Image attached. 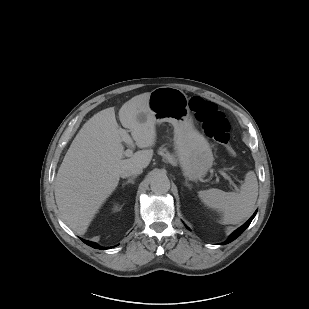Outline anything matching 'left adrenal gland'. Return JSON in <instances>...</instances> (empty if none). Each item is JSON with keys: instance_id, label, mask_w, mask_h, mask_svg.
Instances as JSON below:
<instances>
[{"instance_id": "obj_1", "label": "left adrenal gland", "mask_w": 309, "mask_h": 309, "mask_svg": "<svg viewBox=\"0 0 309 309\" xmlns=\"http://www.w3.org/2000/svg\"><path fill=\"white\" fill-rule=\"evenodd\" d=\"M185 186H187L189 189H191V185L186 181Z\"/></svg>"}]
</instances>
